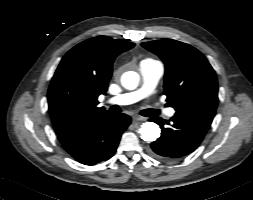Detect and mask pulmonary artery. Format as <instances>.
<instances>
[{
    "instance_id": "e3ab8cb5",
    "label": "pulmonary artery",
    "mask_w": 253,
    "mask_h": 200,
    "mask_svg": "<svg viewBox=\"0 0 253 200\" xmlns=\"http://www.w3.org/2000/svg\"><path fill=\"white\" fill-rule=\"evenodd\" d=\"M140 72L143 78V85L140 89L110 98L107 103L116 105H129L147 97L158 84L163 75V65L156 60H143L140 63ZM165 114L169 117L174 116L175 109L168 108Z\"/></svg>"
}]
</instances>
